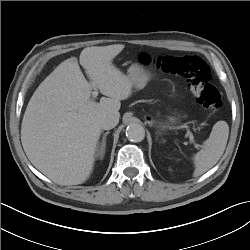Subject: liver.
Returning a JSON list of instances; mask_svg holds the SVG:
<instances>
[{
    "mask_svg": "<svg viewBox=\"0 0 250 250\" xmlns=\"http://www.w3.org/2000/svg\"><path fill=\"white\" fill-rule=\"evenodd\" d=\"M123 44L87 47L66 59L32 95L21 126L23 149L33 166L59 185L84 183L90 176L101 135L100 120L120 117L121 100L130 97L131 79L113 65ZM107 96L91 98L92 89Z\"/></svg>",
    "mask_w": 250,
    "mask_h": 250,
    "instance_id": "liver-1",
    "label": "liver"
}]
</instances>
